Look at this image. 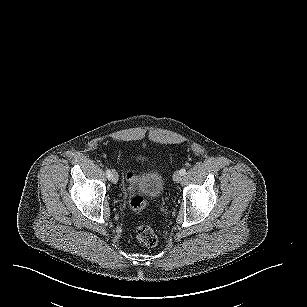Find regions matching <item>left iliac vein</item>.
<instances>
[{"label":"left iliac vein","mask_w":307,"mask_h":307,"mask_svg":"<svg viewBox=\"0 0 307 307\" xmlns=\"http://www.w3.org/2000/svg\"><path fill=\"white\" fill-rule=\"evenodd\" d=\"M182 179V174L180 173V171H176L173 175V180L175 183H179Z\"/></svg>","instance_id":"4c4485c4"}]
</instances>
